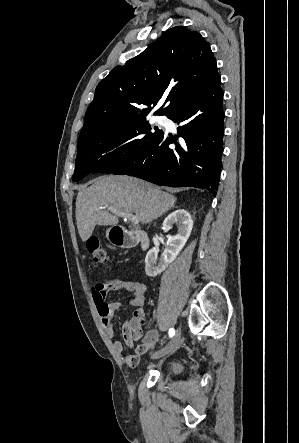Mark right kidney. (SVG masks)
Listing matches in <instances>:
<instances>
[{"mask_svg": "<svg viewBox=\"0 0 299 443\" xmlns=\"http://www.w3.org/2000/svg\"><path fill=\"white\" fill-rule=\"evenodd\" d=\"M174 224L179 225L178 233L169 237L158 265L156 266L158 260V250L156 248L150 249L146 255L145 271L150 277L159 275L175 260L190 236L193 220L189 212L184 209L172 212L165 218L163 228L170 230Z\"/></svg>", "mask_w": 299, "mask_h": 443, "instance_id": "obj_1", "label": "right kidney"}]
</instances>
